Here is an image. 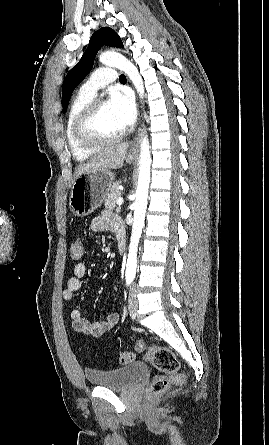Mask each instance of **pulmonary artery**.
Here are the masks:
<instances>
[{
  "mask_svg": "<svg viewBox=\"0 0 269 445\" xmlns=\"http://www.w3.org/2000/svg\"><path fill=\"white\" fill-rule=\"evenodd\" d=\"M117 72L110 67H100L95 70L88 81L82 86L81 91L94 96L98 89L117 80Z\"/></svg>",
  "mask_w": 269,
  "mask_h": 445,
  "instance_id": "pulmonary-artery-1",
  "label": "pulmonary artery"
}]
</instances>
